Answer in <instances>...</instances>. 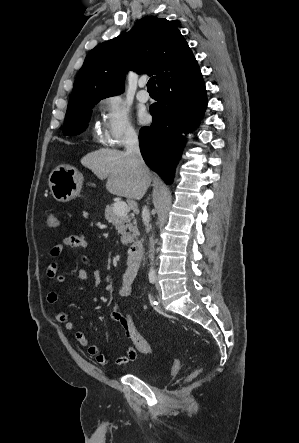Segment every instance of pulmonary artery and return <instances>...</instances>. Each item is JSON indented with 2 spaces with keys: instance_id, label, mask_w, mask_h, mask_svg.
Here are the masks:
<instances>
[{
  "instance_id": "e3ab8cb5",
  "label": "pulmonary artery",
  "mask_w": 299,
  "mask_h": 443,
  "mask_svg": "<svg viewBox=\"0 0 299 443\" xmlns=\"http://www.w3.org/2000/svg\"><path fill=\"white\" fill-rule=\"evenodd\" d=\"M139 86H140V91L137 94V98L139 101L141 102H147L149 100V94L148 92L144 89L146 86V79H141L139 81Z\"/></svg>"
}]
</instances>
